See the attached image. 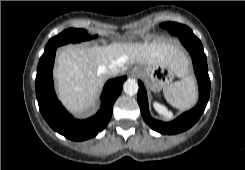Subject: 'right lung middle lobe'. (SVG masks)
I'll list each match as a JSON object with an SVG mask.
<instances>
[{"label": "right lung middle lobe", "mask_w": 245, "mask_h": 170, "mask_svg": "<svg viewBox=\"0 0 245 170\" xmlns=\"http://www.w3.org/2000/svg\"><path fill=\"white\" fill-rule=\"evenodd\" d=\"M89 39H91V36L88 35L85 30L70 28L51 38L45 47L44 54L61 45L71 42H81Z\"/></svg>", "instance_id": "right-lung-middle-lobe-1"}]
</instances>
